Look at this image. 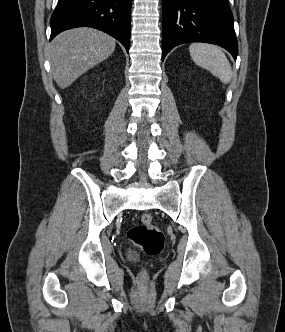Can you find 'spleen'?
Segmentation results:
<instances>
[{
  "mask_svg": "<svg viewBox=\"0 0 285 332\" xmlns=\"http://www.w3.org/2000/svg\"><path fill=\"white\" fill-rule=\"evenodd\" d=\"M189 52L193 61L218 77L220 81L227 84L232 79L231 65L223 53L216 45L208 43H192Z\"/></svg>",
  "mask_w": 285,
  "mask_h": 332,
  "instance_id": "1",
  "label": "spleen"
}]
</instances>
